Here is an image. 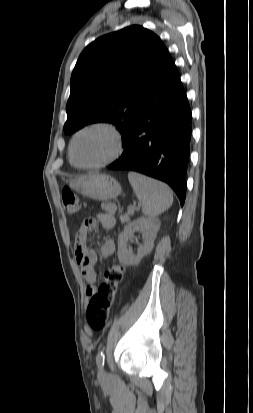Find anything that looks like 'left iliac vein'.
<instances>
[{
    "mask_svg": "<svg viewBox=\"0 0 253 413\" xmlns=\"http://www.w3.org/2000/svg\"><path fill=\"white\" fill-rule=\"evenodd\" d=\"M105 372L102 370V369H100V371H99V377L100 378H104L105 377Z\"/></svg>",
    "mask_w": 253,
    "mask_h": 413,
    "instance_id": "left-iliac-vein-1",
    "label": "left iliac vein"
}]
</instances>
